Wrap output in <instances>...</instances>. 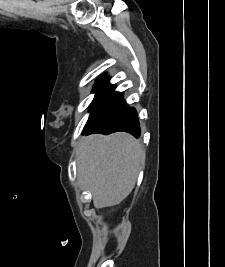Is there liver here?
I'll return each mask as SVG.
<instances>
[{"instance_id": "liver-1", "label": "liver", "mask_w": 225, "mask_h": 267, "mask_svg": "<svg viewBox=\"0 0 225 267\" xmlns=\"http://www.w3.org/2000/svg\"><path fill=\"white\" fill-rule=\"evenodd\" d=\"M77 176L95 208L119 204L133 190L145 162V151L130 134H94L77 148Z\"/></svg>"}]
</instances>
